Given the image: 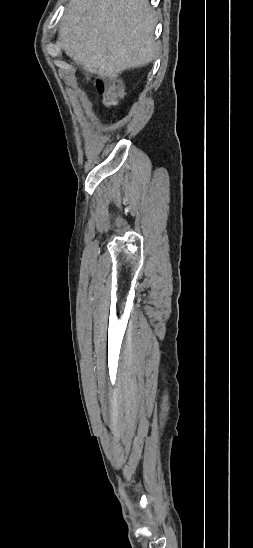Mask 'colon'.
Listing matches in <instances>:
<instances>
[{
	"instance_id": "colon-1",
	"label": "colon",
	"mask_w": 253,
	"mask_h": 548,
	"mask_svg": "<svg viewBox=\"0 0 253 548\" xmlns=\"http://www.w3.org/2000/svg\"><path fill=\"white\" fill-rule=\"evenodd\" d=\"M96 88L107 107L113 106L122 94V84L118 79H98Z\"/></svg>"
}]
</instances>
